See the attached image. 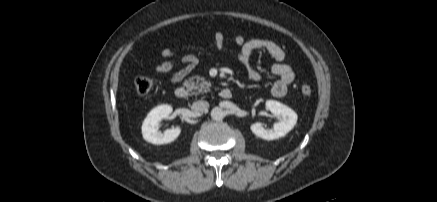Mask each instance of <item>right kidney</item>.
Segmentation results:
<instances>
[{"label":"right kidney","mask_w":437,"mask_h":202,"mask_svg":"<svg viewBox=\"0 0 437 202\" xmlns=\"http://www.w3.org/2000/svg\"><path fill=\"white\" fill-rule=\"evenodd\" d=\"M173 109L170 105H160L152 109L142 124L143 138L152 144L161 145L174 141L181 133L179 126L159 131V122L167 118Z\"/></svg>","instance_id":"right-kidney-1"}]
</instances>
